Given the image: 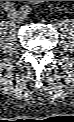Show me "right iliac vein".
<instances>
[{"instance_id": "right-iliac-vein-1", "label": "right iliac vein", "mask_w": 74, "mask_h": 122, "mask_svg": "<svg viewBox=\"0 0 74 122\" xmlns=\"http://www.w3.org/2000/svg\"><path fill=\"white\" fill-rule=\"evenodd\" d=\"M11 17H12V18H18V17H19V14H17V13H12V14H11Z\"/></svg>"}]
</instances>
